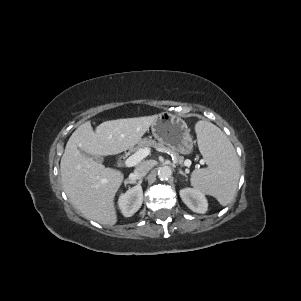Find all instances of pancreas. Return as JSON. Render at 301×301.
<instances>
[{
	"instance_id": "cf45deb5",
	"label": "pancreas",
	"mask_w": 301,
	"mask_h": 301,
	"mask_svg": "<svg viewBox=\"0 0 301 301\" xmlns=\"http://www.w3.org/2000/svg\"><path fill=\"white\" fill-rule=\"evenodd\" d=\"M147 147H154L157 150H162L164 152L172 153L175 157V161L179 164H182L184 161L183 157L179 156L175 151L165 146L164 144L158 143L150 138L141 139L137 146L138 149L147 148Z\"/></svg>"
}]
</instances>
